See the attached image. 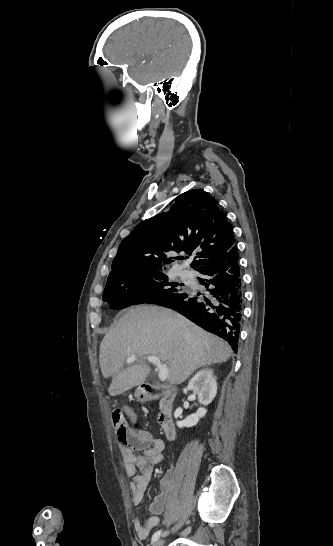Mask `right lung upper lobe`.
Masks as SVG:
<instances>
[{"mask_svg":"<svg viewBox=\"0 0 333 546\" xmlns=\"http://www.w3.org/2000/svg\"><path fill=\"white\" fill-rule=\"evenodd\" d=\"M234 246L233 230L215 198L194 189L181 194L168 212L138 224L119 245L112 270H160L171 261L166 252L201 250L191 263L199 271Z\"/></svg>","mask_w":333,"mask_h":546,"instance_id":"obj_1","label":"right lung upper lobe"}]
</instances>
